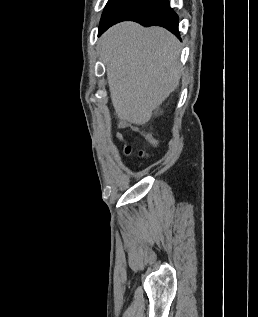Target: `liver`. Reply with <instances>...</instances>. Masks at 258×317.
<instances>
[{
    "label": "liver",
    "mask_w": 258,
    "mask_h": 317,
    "mask_svg": "<svg viewBox=\"0 0 258 317\" xmlns=\"http://www.w3.org/2000/svg\"><path fill=\"white\" fill-rule=\"evenodd\" d=\"M180 40L161 26L118 22L101 36L110 96L122 126L145 124L177 88Z\"/></svg>",
    "instance_id": "1"
}]
</instances>
